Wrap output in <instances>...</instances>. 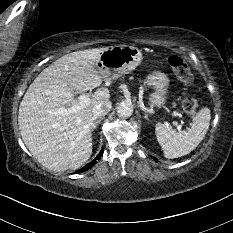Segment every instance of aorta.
<instances>
[{
	"mask_svg": "<svg viewBox=\"0 0 233 233\" xmlns=\"http://www.w3.org/2000/svg\"><path fill=\"white\" fill-rule=\"evenodd\" d=\"M132 113H133V106L129 102L122 103L117 107V114L121 118L130 117Z\"/></svg>",
	"mask_w": 233,
	"mask_h": 233,
	"instance_id": "aorta-1",
	"label": "aorta"
}]
</instances>
